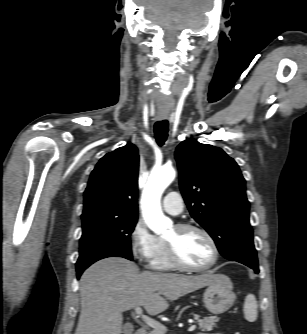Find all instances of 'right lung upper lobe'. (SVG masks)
<instances>
[{
	"label": "right lung upper lobe",
	"instance_id": "right-lung-upper-lobe-1",
	"mask_svg": "<svg viewBox=\"0 0 307 334\" xmlns=\"http://www.w3.org/2000/svg\"><path fill=\"white\" fill-rule=\"evenodd\" d=\"M139 154L135 145L106 154L90 175L82 217L137 218Z\"/></svg>",
	"mask_w": 307,
	"mask_h": 334
}]
</instances>
